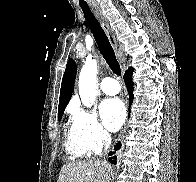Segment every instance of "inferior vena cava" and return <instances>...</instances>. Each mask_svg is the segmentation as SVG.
Returning a JSON list of instances; mask_svg holds the SVG:
<instances>
[{
	"instance_id": "602c4592",
	"label": "inferior vena cava",
	"mask_w": 196,
	"mask_h": 182,
	"mask_svg": "<svg viewBox=\"0 0 196 182\" xmlns=\"http://www.w3.org/2000/svg\"><path fill=\"white\" fill-rule=\"evenodd\" d=\"M103 142H104V150L106 152L111 146V136L108 132H104Z\"/></svg>"
}]
</instances>
